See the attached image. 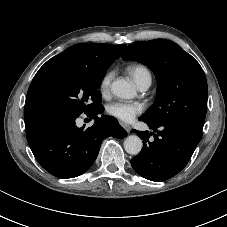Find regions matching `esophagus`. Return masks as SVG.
I'll return each mask as SVG.
<instances>
[{
  "mask_svg": "<svg viewBox=\"0 0 227 227\" xmlns=\"http://www.w3.org/2000/svg\"><path fill=\"white\" fill-rule=\"evenodd\" d=\"M120 124L126 130V132L129 134L131 131V127L128 124H125L123 122H121Z\"/></svg>",
  "mask_w": 227,
  "mask_h": 227,
  "instance_id": "esophagus-1",
  "label": "esophagus"
}]
</instances>
